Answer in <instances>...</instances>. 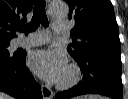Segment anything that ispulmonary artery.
<instances>
[{"label":"pulmonary artery","instance_id":"obj_1","mask_svg":"<svg viewBox=\"0 0 128 99\" xmlns=\"http://www.w3.org/2000/svg\"><path fill=\"white\" fill-rule=\"evenodd\" d=\"M54 33H63L68 29L67 22L56 21L53 24ZM50 33L48 31H40L30 34L27 37H20L14 41L16 47H26V46H38L46 43L50 39Z\"/></svg>","mask_w":128,"mask_h":99}]
</instances>
